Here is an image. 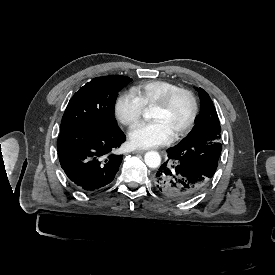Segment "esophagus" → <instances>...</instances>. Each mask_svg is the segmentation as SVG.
<instances>
[{"instance_id": "obj_1", "label": "esophagus", "mask_w": 275, "mask_h": 275, "mask_svg": "<svg viewBox=\"0 0 275 275\" xmlns=\"http://www.w3.org/2000/svg\"><path fill=\"white\" fill-rule=\"evenodd\" d=\"M144 152H145V150H134V151H133L134 154H137V153H138V154H142V153H144Z\"/></svg>"}]
</instances>
